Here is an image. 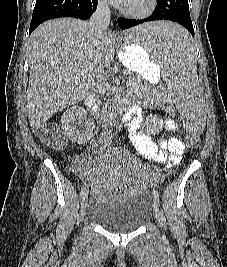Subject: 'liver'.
<instances>
[{
	"label": "liver",
	"instance_id": "obj_1",
	"mask_svg": "<svg viewBox=\"0 0 227 267\" xmlns=\"http://www.w3.org/2000/svg\"><path fill=\"white\" fill-rule=\"evenodd\" d=\"M114 54L113 34L107 31L103 40L97 41L89 33L87 21L59 18L37 27L28 47L27 110L32 130L80 102L97 70H105Z\"/></svg>",
	"mask_w": 227,
	"mask_h": 267
}]
</instances>
